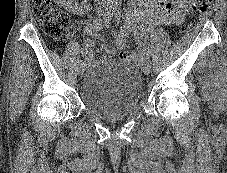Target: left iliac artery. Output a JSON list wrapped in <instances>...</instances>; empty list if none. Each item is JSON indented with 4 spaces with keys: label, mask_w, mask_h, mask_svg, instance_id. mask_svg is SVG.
<instances>
[{
    "label": "left iliac artery",
    "mask_w": 227,
    "mask_h": 173,
    "mask_svg": "<svg viewBox=\"0 0 227 173\" xmlns=\"http://www.w3.org/2000/svg\"><path fill=\"white\" fill-rule=\"evenodd\" d=\"M115 20H116L117 23H119V21H120V13H119V11H117V10H116V12H115ZM147 55H148V53H147ZM147 61L150 62V61H149V57L147 58ZM150 64H151V63H150Z\"/></svg>",
    "instance_id": "left-iliac-artery-1"
}]
</instances>
